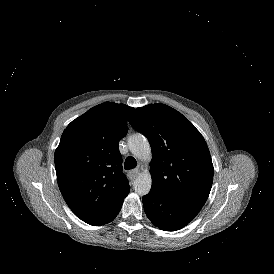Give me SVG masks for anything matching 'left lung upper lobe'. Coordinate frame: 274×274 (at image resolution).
Listing matches in <instances>:
<instances>
[{"label": "left lung upper lobe", "mask_w": 274, "mask_h": 274, "mask_svg": "<svg viewBox=\"0 0 274 274\" xmlns=\"http://www.w3.org/2000/svg\"><path fill=\"white\" fill-rule=\"evenodd\" d=\"M131 126L152 149V188L202 207L211 190L213 164L200 132L181 113L164 104L137 108Z\"/></svg>", "instance_id": "obj_1"}]
</instances>
